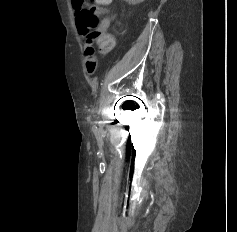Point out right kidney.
<instances>
[{"mask_svg": "<svg viewBox=\"0 0 237 232\" xmlns=\"http://www.w3.org/2000/svg\"><path fill=\"white\" fill-rule=\"evenodd\" d=\"M125 1L128 2L130 5H136L141 2H144L145 0H125Z\"/></svg>", "mask_w": 237, "mask_h": 232, "instance_id": "right-kidney-1", "label": "right kidney"}]
</instances>
